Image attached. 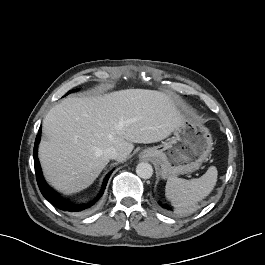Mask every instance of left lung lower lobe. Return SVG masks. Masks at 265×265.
I'll list each match as a JSON object with an SVG mask.
<instances>
[{
	"label": "left lung lower lobe",
	"mask_w": 265,
	"mask_h": 265,
	"mask_svg": "<svg viewBox=\"0 0 265 265\" xmlns=\"http://www.w3.org/2000/svg\"><path fill=\"white\" fill-rule=\"evenodd\" d=\"M159 205L166 211H171L172 210V208L169 205L164 204L162 202H159Z\"/></svg>",
	"instance_id": "1"
}]
</instances>
